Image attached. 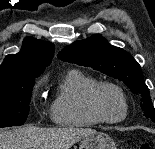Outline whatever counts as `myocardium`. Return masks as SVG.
<instances>
[{"mask_svg": "<svg viewBox=\"0 0 155 149\" xmlns=\"http://www.w3.org/2000/svg\"><path fill=\"white\" fill-rule=\"evenodd\" d=\"M105 87L114 89L122 98V101L124 104V112H123L122 116L117 119L106 118L98 108L97 95H98L99 91ZM87 105H88V108H89L90 112L92 113V115L100 122L106 123V124H117V123L124 121L129 114V108H130L128 97H127L126 93L124 92V90L119 85H117L113 82H109V81L97 82L89 89V91L87 93Z\"/></svg>", "mask_w": 155, "mask_h": 149, "instance_id": "1", "label": "myocardium"}]
</instances>
